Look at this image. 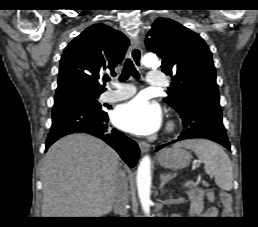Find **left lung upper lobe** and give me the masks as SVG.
Here are the masks:
<instances>
[{"mask_svg":"<svg viewBox=\"0 0 258 227\" xmlns=\"http://www.w3.org/2000/svg\"><path fill=\"white\" fill-rule=\"evenodd\" d=\"M146 48L162 58V71L171 76L165 102L185 113L199 102L219 103V90L211 51L204 40L180 23L157 19Z\"/></svg>","mask_w":258,"mask_h":227,"instance_id":"1","label":"left lung upper lobe"}]
</instances>
